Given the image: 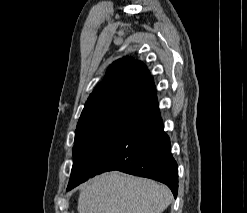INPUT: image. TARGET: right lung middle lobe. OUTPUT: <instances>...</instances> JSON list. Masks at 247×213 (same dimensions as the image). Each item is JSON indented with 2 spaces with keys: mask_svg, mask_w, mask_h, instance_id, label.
I'll use <instances>...</instances> for the list:
<instances>
[{
  "mask_svg": "<svg viewBox=\"0 0 247 213\" xmlns=\"http://www.w3.org/2000/svg\"><path fill=\"white\" fill-rule=\"evenodd\" d=\"M131 105L106 110L77 126L73 147V167L67 190L93 177L98 160L114 143L123 127Z\"/></svg>",
  "mask_w": 247,
  "mask_h": 213,
  "instance_id": "right-lung-middle-lobe-1",
  "label": "right lung middle lobe"
}]
</instances>
